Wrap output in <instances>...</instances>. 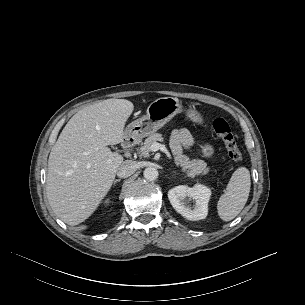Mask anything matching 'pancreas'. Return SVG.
I'll return each mask as SVG.
<instances>
[{"instance_id": "obj_1", "label": "pancreas", "mask_w": 305, "mask_h": 305, "mask_svg": "<svg viewBox=\"0 0 305 305\" xmlns=\"http://www.w3.org/2000/svg\"><path fill=\"white\" fill-rule=\"evenodd\" d=\"M157 141L163 142V136L160 133H154L150 135L145 141L141 144V147L138 149L140 156L149 157L151 150V145ZM175 164L180 166L183 172H186L188 176L195 177L200 174H207L209 169L206 166V163L203 160L193 159L186 155H177L174 159Z\"/></svg>"}]
</instances>
